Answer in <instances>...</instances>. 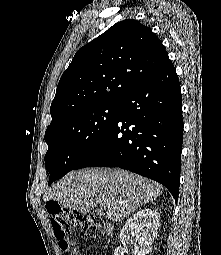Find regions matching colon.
<instances>
[{
	"label": "colon",
	"mask_w": 221,
	"mask_h": 255,
	"mask_svg": "<svg viewBox=\"0 0 221 255\" xmlns=\"http://www.w3.org/2000/svg\"><path fill=\"white\" fill-rule=\"evenodd\" d=\"M49 213L52 229L62 251L69 255H80L69 237V229L79 228L86 232L94 231L96 228L94 217L89 214L63 210L57 204L49 206Z\"/></svg>",
	"instance_id": "5ec220e1"
}]
</instances>
